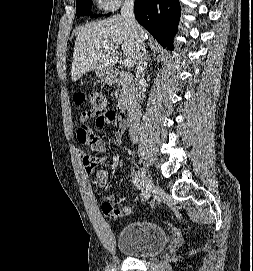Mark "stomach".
<instances>
[{
	"label": "stomach",
	"instance_id": "1",
	"mask_svg": "<svg viewBox=\"0 0 253 271\" xmlns=\"http://www.w3.org/2000/svg\"><path fill=\"white\" fill-rule=\"evenodd\" d=\"M96 74L98 78L104 83L110 84L114 82V76L110 70H98Z\"/></svg>",
	"mask_w": 253,
	"mask_h": 271
}]
</instances>
